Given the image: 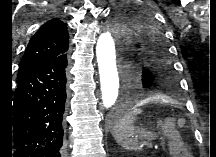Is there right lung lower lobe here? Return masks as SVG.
<instances>
[{"mask_svg": "<svg viewBox=\"0 0 216 157\" xmlns=\"http://www.w3.org/2000/svg\"><path fill=\"white\" fill-rule=\"evenodd\" d=\"M67 65L65 54L18 78L5 154L63 157Z\"/></svg>", "mask_w": 216, "mask_h": 157, "instance_id": "obj_1", "label": "right lung lower lobe"}]
</instances>
